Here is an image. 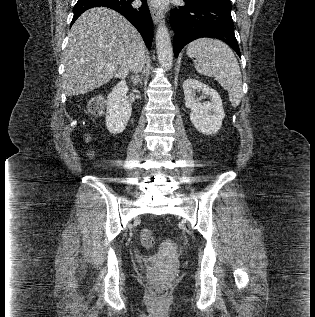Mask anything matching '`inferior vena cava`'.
I'll use <instances>...</instances> for the list:
<instances>
[{
    "label": "inferior vena cava",
    "instance_id": "1",
    "mask_svg": "<svg viewBox=\"0 0 315 317\" xmlns=\"http://www.w3.org/2000/svg\"><path fill=\"white\" fill-rule=\"evenodd\" d=\"M144 63H145V54L144 53L136 54L132 61L131 70L136 75H138L139 72H142V69L144 68Z\"/></svg>",
    "mask_w": 315,
    "mask_h": 317
}]
</instances>
